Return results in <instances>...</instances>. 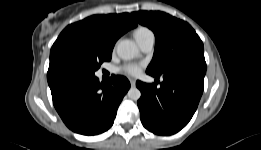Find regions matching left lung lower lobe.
Returning <instances> with one entry per match:
<instances>
[{
  "instance_id": "left-lung-lower-lobe-1",
  "label": "left lung lower lobe",
  "mask_w": 261,
  "mask_h": 150,
  "mask_svg": "<svg viewBox=\"0 0 261 150\" xmlns=\"http://www.w3.org/2000/svg\"><path fill=\"white\" fill-rule=\"evenodd\" d=\"M156 78L154 84L140 81L137 104L143 126L158 135L180 131L194 115L204 87L206 63L182 61L161 75L147 72ZM160 76L163 82L157 87Z\"/></svg>"
}]
</instances>
